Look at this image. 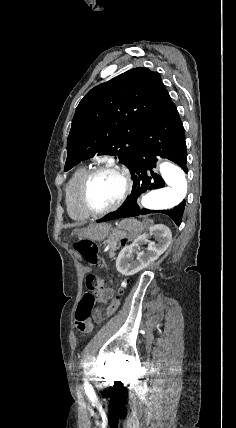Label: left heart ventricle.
<instances>
[{"instance_id":"1","label":"left heart ventricle","mask_w":236,"mask_h":428,"mask_svg":"<svg viewBox=\"0 0 236 428\" xmlns=\"http://www.w3.org/2000/svg\"><path fill=\"white\" fill-rule=\"evenodd\" d=\"M125 190L123 177L114 171L96 175L88 188V199L96 209H104L116 204Z\"/></svg>"}]
</instances>
